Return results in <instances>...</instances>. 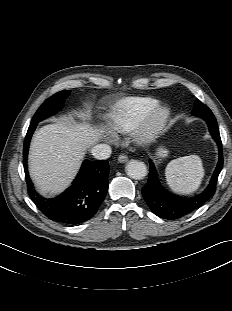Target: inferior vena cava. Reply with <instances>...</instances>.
Instances as JSON below:
<instances>
[{
	"mask_svg": "<svg viewBox=\"0 0 232 311\" xmlns=\"http://www.w3.org/2000/svg\"><path fill=\"white\" fill-rule=\"evenodd\" d=\"M94 158L98 160L108 159L112 153L111 147L107 144H98L91 149Z\"/></svg>",
	"mask_w": 232,
	"mask_h": 311,
	"instance_id": "obj_1",
	"label": "inferior vena cava"
}]
</instances>
